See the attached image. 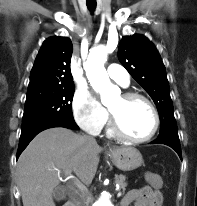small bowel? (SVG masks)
I'll use <instances>...</instances> for the list:
<instances>
[{
	"mask_svg": "<svg viewBox=\"0 0 197 206\" xmlns=\"http://www.w3.org/2000/svg\"><path fill=\"white\" fill-rule=\"evenodd\" d=\"M162 206V195L158 188L143 187L133 189L123 197L121 206Z\"/></svg>",
	"mask_w": 197,
	"mask_h": 206,
	"instance_id": "obj_1",
	"label": "small bowel"
}]
</instances>
